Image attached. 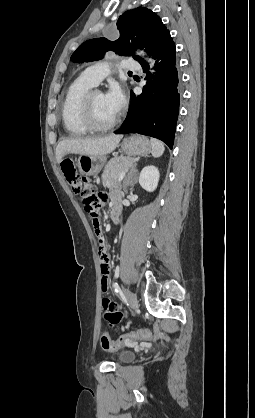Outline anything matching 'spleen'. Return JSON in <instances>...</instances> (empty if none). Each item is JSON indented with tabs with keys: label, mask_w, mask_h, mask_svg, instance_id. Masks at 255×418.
<instances>
[{
	"label": "spleen",
	"mask_w": 255,
	"mask_h": 418,
	"mask_svg": "<svg viewBox=\"0 0 255 418\" xmlns=\"http://www.w3.org/2000/svg\"><path fill=\"white\" fill-rule=\"evenodd\" d=\"M150 143H151V148H152V151H151L152 156L155 158L160 157L164 153V150H165L164 144L160 140L155 139V138H151Z\"/></svg>",
	"instance_id": "obj_1"
}]
</instances>
